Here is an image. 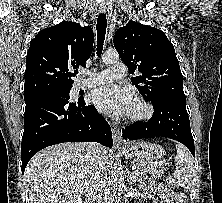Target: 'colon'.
Masks as SVG:
<instances>
[{"instance_id":"5ec220e1","label":"colon","mask_w":222,"mask_h":203,"mask_svg":"<svg viewBox=\"0 0 222 203\" xmlns=\"http://www.w3.org/2000/svg\"><path fill=\"white\" fill-rule=\"evenodd\" d=\"M168 184L171 188H177V182L173 177L168 178Z\"/></svg>"}]
</instances>
